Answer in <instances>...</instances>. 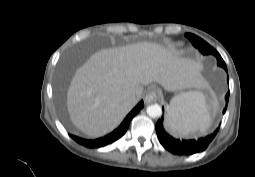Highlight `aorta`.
Masks as SVG:
<instances>
[{
  "label": "aorta",
  "instance_id": "aorta-1",
  "mask_svg": "<svg viewBox=\"0 0 255 177\" xmlns=\"http://www.w3.org/2000/svg\"><path fill=\"white\" fill-rule=\"evenodd\" d=\"M147 114L152 118L160 117L162 109L158 104H152L147 107Z\"/></svg>",
  "mask_w": 255,
  "mask_h": 177
}]
</instances>
